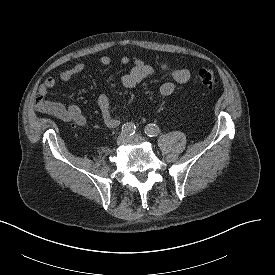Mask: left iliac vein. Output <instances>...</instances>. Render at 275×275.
<instances>
[{
    "mask_svg": "<svg viewBox=\"0 0 275 275\" xmlns=\"http://www.w3.org/2000/svg\"><path fill=\"white\" fill-rule=\"evenodd\" d=\"M144 141H145L144 137L139 135H134L130 138V142H133V143H142Z\"/></svg>",
    "mask_w": 275,
    "mask_h": 275,
    "instance_id": "left-iliac-vein-1",
    "label": "left iliac vein"
}]
</instances>
